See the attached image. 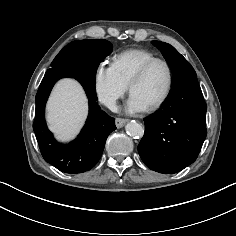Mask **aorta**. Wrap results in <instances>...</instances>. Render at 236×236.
<instances>
[{
  "instance_id": "aorta-1",
  "label": "aorta",
  "mask_w": 236,
  "mask_h": 236,
  "mask_svg": "<svg viewBox=\"0 0 236 236\" xmlns=\"http://www.w3.org/2000/svg\"><path fill=\"white\" fill-rule=\"evenodd\" d=\"M125 128L127 134L134 138H141L144 135V127L135 121L127 123Z\"/></svg>"
}]
</instances>
